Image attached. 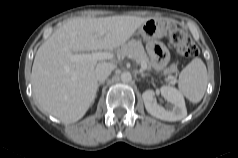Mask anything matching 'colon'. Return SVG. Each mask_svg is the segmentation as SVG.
<instances>
[{
  "instance_id": "5ec220e1",
  "label": "colon",
  "mask_w": 238,
  "mask_h": 158,
  "mask_svg": "<svg viewBox=\"0 0 238 158\" xmlns=\"http://www.w3.org/2000/svg\"><path fill=\"white\" fill-rule=\"evenodd\" d=\"M169 40L181 56L194 57L198 54L194 42L182 29L175 25L169 28Z\"/></svg>"
}]
</instances>
